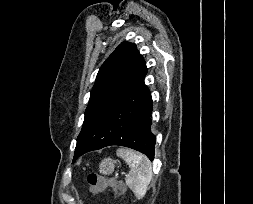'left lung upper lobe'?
I'll list each match as a JSON object with an SVG mask.
<instances>
[{"label":"left lung upper lobe","mask_w":253,"mask_h":204,"mask_svg":"<svg viewBox=\"0 0 253 204\" xmlns=\"http://www.w3.org/2000/svg\"><path fill=\"white\" fill-rule=\"evenodd\" d=\"M146 74L145 61L134 44L123 42L113 51L97 74L75 153L81 149L89 125L127 98L144 81Z\"/></svg>","instance_id":"obj_1"}]
</instances>
